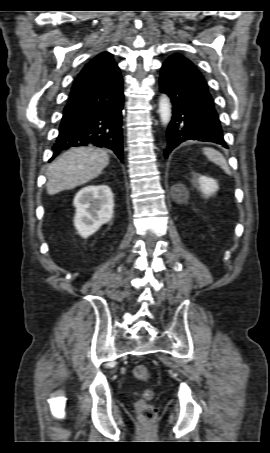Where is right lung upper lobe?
Returning <instances> with one entry per match:
<instances>
[{"label":"right lung upper lobe","instance_id":"right-lung-upper-lobe-1","mask_svg":"<svg viewBox=\"0 0 270 453\" xmlns=\"http://www.w3.org/2000/svg\"><path fill=\"white\" fill-rule=\"evenodd\" d=\"M117 68L118 66L113 61L111 54L108 52H102L85 65L82 71L78 74L71 89L73 90L96 84L105 79Z\"/></svg>","mask_w":270,"mask_h":453}]
</instances>
